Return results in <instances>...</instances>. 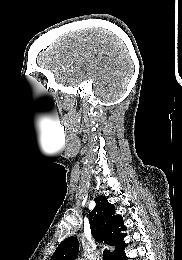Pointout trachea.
<instances>
[{"mask_svg":"<svg viewBox=\"0 0 182 260\" xmlns=\"http://www.w3.org/2000/svg\"><path fill=\"white\" fill-rule=\"evenodd\" d=\"M103 260H112L110 251L108 249H104L103 251Z\"/></svg>","mask_w":182,"mask_h":260,"instance_id":"trachea-1","label":"trachea"}]
</instances>
